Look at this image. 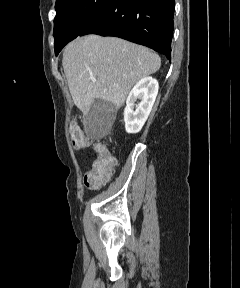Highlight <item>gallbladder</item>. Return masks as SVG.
<instances>
[{
  "mask_svg": "<svg viewBox=\"0 0 240 288\" xmlns=\"http://www.w3.org/2000/svg\"><path fill=\"white\" fill-rule=\"evenodd\" d=\"M113 112L114 108L111 104H108L101 99H96L92 103L91 108L86 114L85 119L87 123H91L98 119L109 121L112 118Z\"/></svg>",
  "mask_w": 240,
  "mask_h": 288,
  "instance_id": "gallbladder-1",
  "label": "gallbladder"
}]
</instances>
